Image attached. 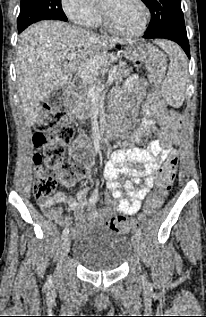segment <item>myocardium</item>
I'll return each instance as SVG.
<instances>
[{
	"label": "myocardium",
	"mask_w": 206,
	"mask_h": 317,
	"mask_svg": "<svg viewBox=\"0 0 206 317\" xmlns=\"http://www.w3.org/2000/svg\"><path fill=\"white\" fill-rule=\"evenodd\" d=\"M135 1L142 8L143 13H144V18H143L142 25L137 30L131 31V32L122 31V30L116 28L111 23L106 11L102 7H100L102 20H103L104 26L106 27V29L108 31H110L111 33L116 34L118 36H122V37H137L145 32V30L147 29L149 22H150L151 12H150L149 7L147 6V4L145 3L144 0H135Z\"/></svg>",
	"instance_id": "1"
}]
</instances>
